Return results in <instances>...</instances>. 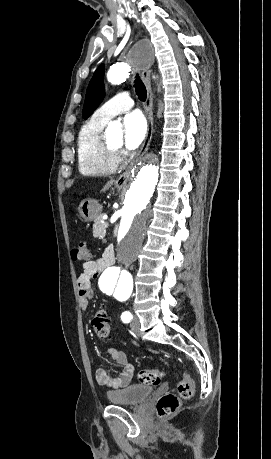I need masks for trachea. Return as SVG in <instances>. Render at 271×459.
Returning a JSON list of instances; mask_svg holds the SVG:
<instances>
[{
  "instance_id": "1",
  "label": "trachea",
  "mask_w": 271,
  "mask_h": 459,
  "mask_svg": "<svg viewBox=\"0 0 271 459\" xmlns=\"http://www.w3.org/2000/svg\"><path fill=\"white\" fill-rule=\"evenodd\" d=\"M134 88H135V92L138 96V99L141 100L142 102H144L147 98V90H146V87L144 85V83L142 82V80L140 79L139 75L136 74V77H135V80H134Z\"/></svg>"
}]
</instances>
